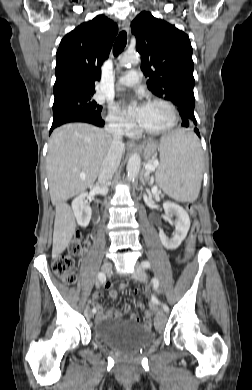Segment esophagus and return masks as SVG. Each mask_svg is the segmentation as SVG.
Instances as JSON below:
<instances>
[{
    "label": "esophagus",
    "instance_id": "obj_1",
    "mask_svg": "<svg viewBox=\"0 0 252 390\" xmlns=\"http://www.w3.org/2000/svg\"><path fill=\"white\" fill-rule=\"evenodd\" d=\"M129 26H130V24H129V21H128V20H123V21H122L121 27H122V29H123L124 31H126L127 33L129 32ZM127 146L133 148V147H135V143L129 141V142L127 143Z\"/></svg>",
    "mask_w": 252,
    "mask_h": 390
}]
</instances>
